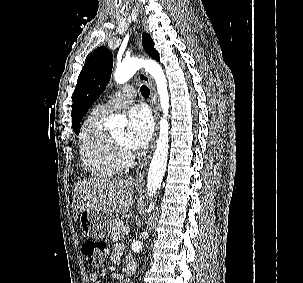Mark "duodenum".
Segmentation results:
<instances>
[{"label": "duodenum", "instance_id": "obj_1", "mask_svg": "<svg viewBox=\"0 0 303 283\" xmlns=\"http://www.w3.org/2000/svg\"><path fill=\"white\" fill-rule=\"evenodd\" d=\"M137 269V264L136 262L134 261H130L128 264H127V268H126V271H127V274H133Z\"/></svg>", "mask_w": 303, "mask_h": 283}]
</instances>
